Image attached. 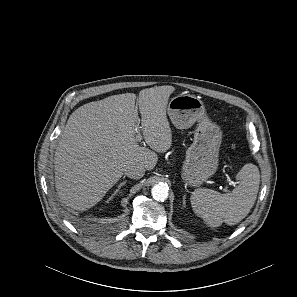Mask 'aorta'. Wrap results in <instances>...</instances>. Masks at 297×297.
Returning a JSON list of instances; mask_svg holds the SVG:
<instances>
[{"label": "aorta", "instance_id": "762f6f07", "mask_svg": "<svg viewBox=\"0 0 297 297\" xmlns=\"http://www.w3.org/2000/svg\"><path fill=\"white\" fill-rule=\"evenodd\" d=\"M152 197L156 201H165L168 198V186L164 183H159L153 186L151 190Z\"/></svg>", "mask_w": 297, "mask_h": 297}]
</instances>
